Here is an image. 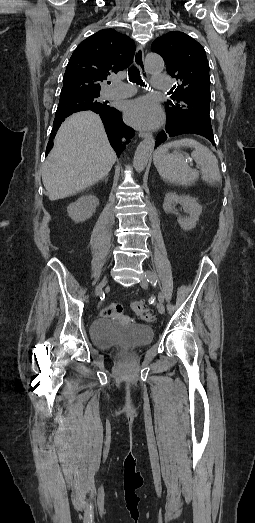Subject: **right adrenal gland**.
Returning <instances> with one entry per match:
<instances>
[{
	"instance_id": "2a0ac1e0",
	"label": "right adrenal gland",
	"mask_w": 255,
	"mask_h": 523,
	"mask_svg": "<svg viewBox=\"0 0 255 523\" xmlns=\"http://www.w3.org/2000/svg\"><path fill=\"white\" fill-rule=\"evenodd\" d=\"M104 180H106V182H107V180H108V176H104Z\"/></svg>"
}]
</instances>
